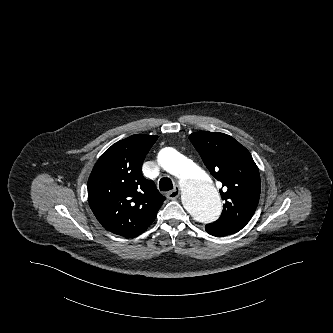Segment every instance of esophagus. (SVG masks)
Returning <instances> with one entry per match:
<instances>
[{"label":"esophagus","mask_w":333,"mask_h":333,"mask_svg":"<svg viewBox=\"0 0 333 333\" xmlns=\"http://www.w3.org/2000/svg\"><path fill=\"white\" fill-rule=\"evenodd\" d=\"M180 195V188L176 186L172 191L167 193V198L174 200Z\"/></svg>","instance_id":"1"}]
</instances>
